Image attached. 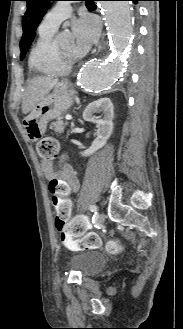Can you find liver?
I'll return each mask as SVG.
<instances>
[{
	"instance_id": "1",
	"label": "liver",
	"mask_w": 183,
	"mask_h": 329,
	"mask_svg": "<svg viewBox=\"0 0 183 329\" xmlns=\"http://www.w3.org/2000/svg\"><path fill=\"white\" fill-rule=\"evenodd\" d=\"M57 83V79L50 77H37L30 80L23 96L22 113H29Z\"/></svg>"
}]
</instances>
